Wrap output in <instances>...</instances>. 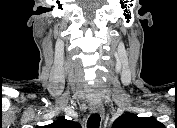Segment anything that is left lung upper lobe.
<instances>
[{"mask_svg":"<svg viewBox=\"0 0 177 128\" xmlns=\"http://www.w3.org/2000/svg\"><path fill=\"white\" fill-rule=\"evenodd\" d=\"M162 124L153 117L141 118L128 113L118 117L112 128H159Z\"/></svg>","mask_w":177,"mask_h":128,"instance_id":"1","label":"left lung upper lobe"}]
</instances>
